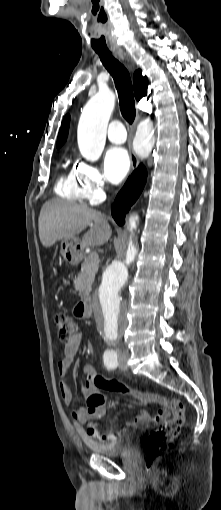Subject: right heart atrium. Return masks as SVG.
Returning a JSON list of instances; mask_svg holds the SVG:
<instances>
[{
  "instance_id": "1",
  "label": "right heart atrium",
  "mask_w": 221,
  "mask_h": 510,
  "mask_svg": "<svg viewBox=\"0 0 221 510\" xmlns=\"http://www.w3.org/2000/svg\"><path fill=\"white\" fill-rule=\"evenodd\" d=\"M76 179L81 199L90 204L102 200L106 190V178L96 165L80 162L76 167Z\"/></svg>"
}]
</instances>
